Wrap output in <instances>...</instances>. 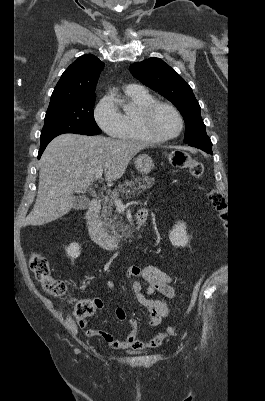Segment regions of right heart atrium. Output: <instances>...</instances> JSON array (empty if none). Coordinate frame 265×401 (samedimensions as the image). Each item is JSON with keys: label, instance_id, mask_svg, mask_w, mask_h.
Listing matches in <instances>:
<instances>
[{"label": "right heart atrium", "instance_id": "1", "mask_svg": "<svg viewBox=\"0 0 265 401\" xmlns=\"http://www.w3.org/2000/svg\"><path fill=\"white\" fill-rule=\"evenodd\" d=\"M93 116L101 129L109 134L116 135L122 125L121 114L111 96H103L96 104Z\"/></svg>", "mask_w": 265, "mask_h": 401}]
</instances>
